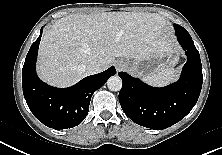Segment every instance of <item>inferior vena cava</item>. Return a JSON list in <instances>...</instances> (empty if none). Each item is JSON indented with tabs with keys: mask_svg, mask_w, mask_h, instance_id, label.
<instances>
[{
	"mask_svg": "<svg viewBox=\"0 0 222 155\" xmlns=\"http://www.w3.org/2000/svg\"><path fill=\"white\" fill-rule=\"evenodd\" d=\"M101 70V65L96 61L90 62L86 67V71L88 74H96L99 73Z\"/></svg>",
	"mask_w": 222,
	"mask_h": 155,
	"instance_id": "inferior-vena-cava-1",
	"label": "inferior vena cava"
}]
</instances>
